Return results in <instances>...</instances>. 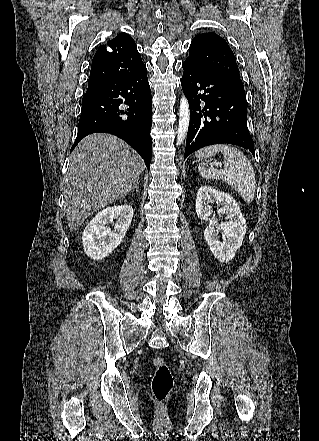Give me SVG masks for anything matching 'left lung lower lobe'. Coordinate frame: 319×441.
<instances>
[{"label":"left lung lower lobe","instance_id":"obj_1","mask_svg":"<svg viewBox=\"0 0 319 441\" xmlns=\"http://www.w3.org/2000/svg\"><path fill=\"white\" fill-rule=\"evenodd\" d=\"M182 67L181 84L191 115L184 159L202 147L222 143L238 145L254 154L245 92L227 78L188 60Z\"/></svg>","mask_w":319,"mask_h":441}]
</instances>
